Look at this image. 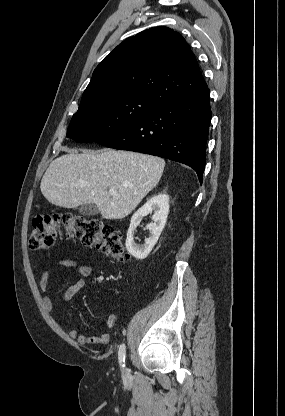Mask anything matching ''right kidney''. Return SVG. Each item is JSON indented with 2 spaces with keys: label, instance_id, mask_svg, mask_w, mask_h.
<instances>
[{
  "label": "right kidney",
  "instance_id": "right-kidney-1",
  "mask_svg": "<svg viewBox=\"0 0 285 416\" xmlns=\"http://www.w3.org/2000/svg\"><path fill=\"white\" fill-rule=\"evenodd\" d=\"M152 210H155V214L152 216L153 224H147L146 226V230H150V236L149 238H146L143 246H137V244H134V230L139 226L144 216L152 214ZM168 212L169 196H167V194H157V196H153L151 200H148L142 208H139V210L133 214L130 220L125 246L129 254L134 256L136 260H145L148 254H150L166 224Z\"/></svg>",
  "mask_w": 285,
  "mask_h": 416
}]
</instances>
